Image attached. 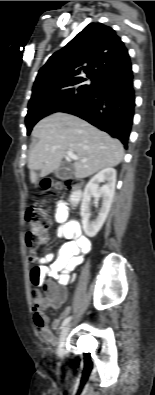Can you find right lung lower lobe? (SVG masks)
<instances>
[{
    "label": "right lung lower lobe",
    "instance_id": "1",
    "mask_svg": "<svg viewBox=\"0 0 155 395\" xmlns=\"http://www.w3.org/2000/svg\"><path fill=\"white\" fill-rule=\"evenodd\" d=\"M135 108L132 66L106 74L97 89L63 111L118 138L127 148Z\"/></svg>",
    "mask_w": 155,
    "mask_h": 395
}]
</instances>
